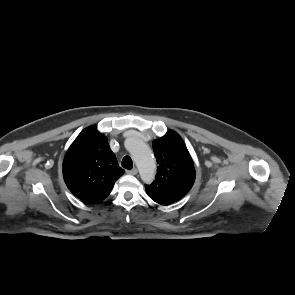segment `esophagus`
<instances>
[{
	"label": "esophagus",
	"mask_w": 295,
	"mask_h": 295,
	"mask_svg": "<svg viewBox=\"0 0 295 295\" xmlns=\"http://www.w3.org/2000/svg\"><path fill=\"white\" fill-rule=\"evenodd\" d=\"M138 170L136 168H133L131 170H127L126 173L129 175H136Z\"/></svg>",
	"instance_id": "esophagus-1"
}]
</instances>
